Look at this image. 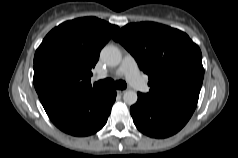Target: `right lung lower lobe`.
Listing matches in <instances>:
<instances>
[{
  "instance_id": "98d812e1",
  "label": "right lung lower lobe",
  "mask_w": 238,
  "mask_h": 158,
  "mask_svg": "<svg viewBox=\"0 0 238 158\" xmlns=\"http://www.w3.org/2000/svg\"><path fill=\"white\" fill-rule=\"evenodd\" d=\"M40 101L51 121L74 136H87L100 130L116 99L114 89L88 92L46 91Z\"/></svg>"
}]
</instances>
